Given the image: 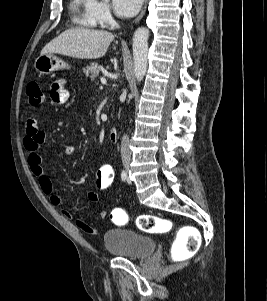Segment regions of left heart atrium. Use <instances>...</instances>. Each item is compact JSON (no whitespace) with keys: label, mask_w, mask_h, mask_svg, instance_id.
Listing matches in <instances>:
<instances>
[{"label":"left heart atrium","mask_w":267,"mask_h":301,"mask_svg":"<svg viewBox=\"0 0 267 301\" xmlns=\"http://www.w3.org/2000/svg\"><path fill=\"white\" fill-rule=\"evenodd\" d=\"M143 0H113L116 14L126 18L134 16L140 9Z\"/></svg>","instance_id":"1"}]
</instances>
